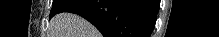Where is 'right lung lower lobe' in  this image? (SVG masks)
Here are the masks:
<instances>
[{"mask_svg": "<svg viewBox=\"0 0 219 37\" xmlns=\"http://www.w3.org/2000/svg\"><path fill=\"white\" fill-rule=\"evenodd\" d=\"M158 10L157 0H71L58 13L84 17L104 37H150Z\"/></svg>", "mask_w": 219, "mask_h": 37, "instance_id": "1", "label": "right lung lower lobe"}]
</instances>
